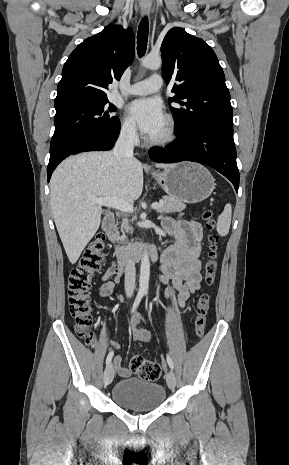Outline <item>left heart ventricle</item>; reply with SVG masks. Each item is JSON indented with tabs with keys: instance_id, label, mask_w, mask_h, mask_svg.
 Wrapping results in <instances>:
<instances>
[{
	"instance_id": "left-heart-ventricle-1",
	"label": "left heart ventricle",
	"mask_w": 289,
	"mask_h": 465,
	"mask_svg": "<svg viewBox=\"0 0 289 465\" xmlns=\"http://www.w3.org/2000/svg\"><path fill=\"white\" fill-rule=\"evenodd\" d=\"M161 133H162V131H161ZM161 133H160V134H161ZM160 134H159V135H160ZM159 135H157L156 137H158Z\"/></svg>"
}]
</instances>
